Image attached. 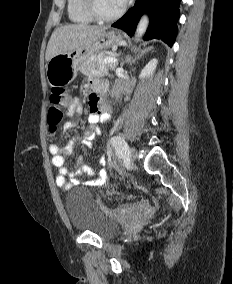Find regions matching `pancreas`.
I'll use <instances>...</instances> for the list:
<instances>
[{
  "label": "pancreas",
  "instance_id": "obj_1",
  "mask_svg": "<svg viewBox=\"0 0 233 284\" xmlns=\"http://www.w3.org/2000/svg\"><path fill=\"white\" fill-rule=\"evenodd\" d=\"M108 56L94 55L84 61L79 70L86 76L102 75L107 73L108 69L114 70L117 63H104V59Z\"/></svg>",
  "mask_w": 233,
  "mask_h": 284
}]
</instances>
